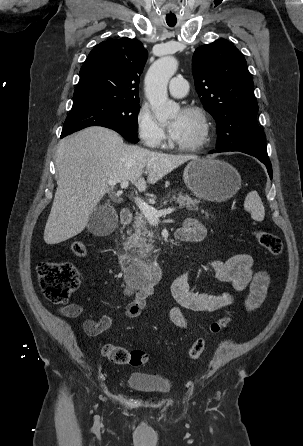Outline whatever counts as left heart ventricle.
Wrapping results in <instances>:
<instances>
[{
	"label": "left heart ventricle",
	"instance_id": "left-heart-ventricle-1",
	"mask_svg": "<svg viewBox=\"0 0 303 446\" xmlns=\"http://www.w3.org/2000/svg\"><path fill=\"white\" fill-rule=\"evenodd\" d=\"M178 118L181 120V126L179 134L174 140L180 144L195 142L202 130L200 119L194 114L178 112L172 117L170 123Z\"/></svg>",
	"mask_w": 303,
	"mask_h": 446
}]
</instances>
